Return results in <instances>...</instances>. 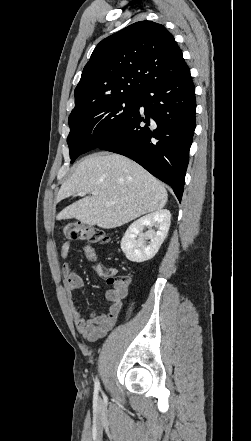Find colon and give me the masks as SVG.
<instances>
[{"label":"colon","instance_id":"colon-1","mask_svg":"<svg viewBox=\"0 0 251 441\" xmlns=\"http://www.w3.org/2000/svg\"><path fill=\"white\" fill-rule=\"evenodd\" d=\"M64 236L69 240L86 241L91 244L106 243L109 236L102 230L90 227L81 222H71L62 228ZM104 278L111 285H128L129 277L117 274L115 270H107Z\"/></svg>","mask_w":251,"mask_h":441}]
</instances>
